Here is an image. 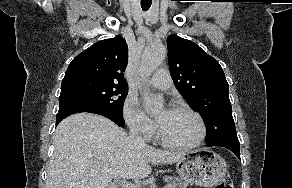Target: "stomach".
<instances>
[{"mask_svg": "<svg viewBox=\"0 0 292 188\" xmlns=\"http://www.w3.org/2000/svg\"><path fill=\"white\" fill-rule=\"evenodd\" d=\"M176 170L185 182L210 188L223 179L227 164L211 149L199 148L184 153L176 162Z\"/></svg>", "mask_w": 292, "mask_h": 188, "instance_id": "0dacf381", "label": "stomach"}]
</instances>
